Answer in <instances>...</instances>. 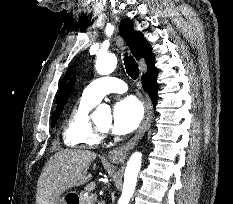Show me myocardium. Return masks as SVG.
Masks as SVG:
<instances>
[{
    "label": "myocardium",
    "mask_w": 233,
    "mask_h": 204,
    "mask_svg": "<svg viewBox=\"0 0 233 204\" xmlns=\"http://www.w3.org/2000/svg\"><path fill=\"white\" fill-rule=\"evenodd\" d=\"M93 127L96 133L100 136L105 135L107 133V130L101 129L97 124H93Z\"/></svg>",
    "instance_id": "f54148a6"
}]
</instances>
